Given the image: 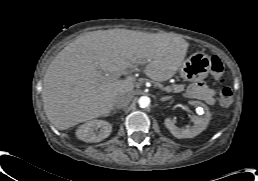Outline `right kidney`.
Instances as JSON below:
<instances>
[{
    "label": "right kidney",
    "instance_id": "right-kidney-1",
    "mask_svg": "<svg viewBox=\"0 0 258 181\" xmlns=\"http://www.w3.org/2000/svg\"><path fill=\"white\" fill-rule=\"evenodd\" d=\"M112 131V125L104 120H91L80 125L76 131L78 139L96 143L107 138Z\"/></svg>",
    "mask_w": 258,
    "mask_h": 181
}]
</instances>
